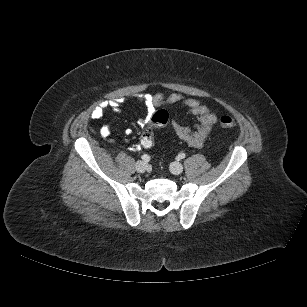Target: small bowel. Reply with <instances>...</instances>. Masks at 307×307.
Wrapping results in <instances>:
<instances>
[{
	"instance_id": "obj_1",
	"label": "small bowel",
	"mask_w": 307,
	"mask_h": 307,
	"mask_svg": "<svg viewBox=\"0 0 307 307\" xmlns=\"http://www.w3.org/2000/svg\"><path fill=\"white\" fill-rule=\"evenodd\" d=\"M136 99L143 102L146 106V115L138 121L140 127H146L155 110L160 106L181 104L190 114L198 120V125L195 129H190L183 126L177 121H172V128L179 139L186 142L194 148H201L207 140L212 128L217 122V116L210 109L203 105L199 100L194 98H185L179 93H172L165 96L162 93L149 94L143 93L136 96ZM120 102L117 100H108L100 103L91 113V118L94 120H102L107 110L111 109L114 112H119ZM130 128L126 129V134H131ZM102 137L107 138L110 135L109 125H103L100 129Z\"/></svg>"
}]
</instances>
